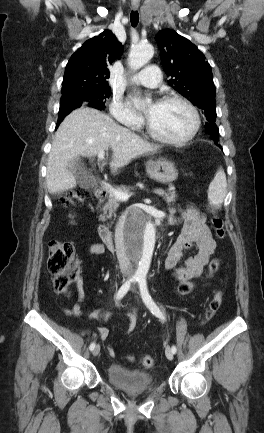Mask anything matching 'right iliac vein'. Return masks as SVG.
I'll return each instance as SVG.
<instances>
[{
    "label": "right iliac vein",
    "instance_id": "obj_1",
    "mask_svg": "<svg viewBox=\"0 0 264 433\" xmlns=\"http://www.w3.org/2000/svg\"><path fill=\"white\" fill-rule=\"evenodd\" d=\"M99 352H100V345L99 344H97L96 346H95V348L93 349V356H97L98 354H99Z\"/></svg>",
    "mask_w": 264,
    "mask_h": 433
}]
</instances>
